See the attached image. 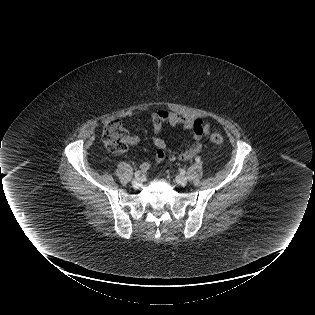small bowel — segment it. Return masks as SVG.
I'll return each instance as SVG.
<instances>
[{
  "label": "small bowel",
  "instance_id": "small-bowel-1",
  "mask_svg": "<svg viewBox=\"0 0 315 315\" xmlns=\"http://www.w3.org/2000/svg\"><path fill=\"white\" fill-rule=\"evenodd\" d=\"M153 123V131L155 135L151 138L153 145L156 147V153L153 162H143L140 165V169L146 172L152 165L159 164L164 160L170 161H184L195 157L201 150L202 145L199 142L201 139L208 137L210 132L209 123L201 120L194 119L190 116L179 115L168 110H158L150 115ZM163 124L171 126H181L183 129L189 131L192 137L197 141L188 144L181 151H174L167 147L165 141L157 136L161 131ZM140 143V138L136 135H132L128 138V144L136 146Z\"/></svg>",
  "mask_w": 315,
  "mask_h": 315
}]
</instances>
